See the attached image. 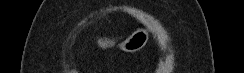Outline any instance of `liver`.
<instances>
[{
    "mask_svg": "<svg viewBox=\"0 0 244 73\" xmlns=\"http://www.w3.org/2000/svg\"><path fill=\"white\" fill-rule=\"evenodd\" d=\"M114 43H115L114 41H110L107 39L98 41L99 46L102 47L103 49H106L107 47L114 45Z\"/></svg>",
    "mask_w": 244,
    "mask_h": 73,
    "instance_id": "6515ba94",
    "label": "liver"
}]
</instances>
